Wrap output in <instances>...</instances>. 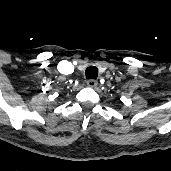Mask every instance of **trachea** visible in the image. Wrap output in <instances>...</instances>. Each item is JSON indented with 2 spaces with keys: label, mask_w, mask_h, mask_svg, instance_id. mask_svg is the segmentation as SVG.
I'll return each instance as SVG.
<instances>
[{
  "label": "trachea",
  "mask_w": 171,
  "mask_h": 171,
  "mask_svg": "<svg viewBox=\"0 0 171 171\" xmlns=\"http://www.w3.org/2000/svg\"><path fill=\"white\" fill-rule=\"evenodd\" d=\"M85 75L87 79H96L98 77V68L90 66L86 69Z\"/></svg>",
  "instance_id": "obj_1"
}]
</instances>
